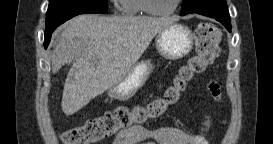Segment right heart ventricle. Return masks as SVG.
<instances>
[{
  "label": "right heart ventricle",
  "instance_id": "obj_1",
  "mask_svg": "<svg viewBox=\"0 0 273 144\" xmlns=\"http://www.w3.org/2000/svg\"><path fill=\"white\" fill-rule=\"evenodd\" d=\"M121 7L124 15H137L142 11V0H122Z\"/></svg>",
  "mask_w": 273,
  "mask_h": 144
}]
</instances>
